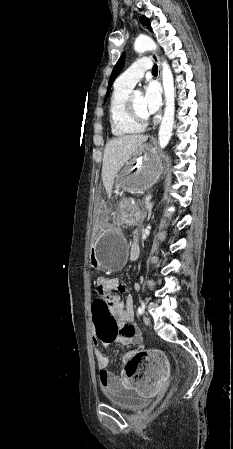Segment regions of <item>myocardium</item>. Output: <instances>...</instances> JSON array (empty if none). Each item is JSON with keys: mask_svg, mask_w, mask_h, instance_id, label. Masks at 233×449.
Returning <instances> with one entry per match:
<instances>
[{"mask_svg": "<svg viewBox=\"0 0 233 449\" xmlns=\"http://www.w3.org/2000/svg\"><path fill=\"white\" fill-rule=\"evenodd\" d=\"M133 94H130L126 100V112L128 116L133 120L134 122L140 124V125H146L150 119L149 115H142L140 114L134 104L133 100Z\"/></svg>", "mask_w": 233, "mask_h": 449, "instance_id": "myocardium-1", "label": "myocardium"}]
</instances>
